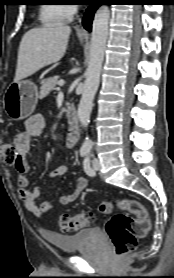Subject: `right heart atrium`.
Returning <instances> with one entry per match:
<instances>
[{
    "label": "right heart atrium",
    "mask_w": 174,
    "mask_h": 278,
    "mask_svg": "<svg viewBox=\"0 0 174 278\" xmlns=\"http://www.w3.org/2000/svg\"><path fill=\"white\" fill-rule=\"evenodd\" d=\"M69 16H73L77 11V6L74 4L66 5Z\"/></svg>",
    "instance_id": "d8ad5b80"
}]
</instances>
